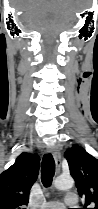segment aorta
Masks as SVG:
<instances>
[{
  "label": "aorta",
  "mask_w": 98,
  "mask_h": 209,
  "mask_svg": "<svg viewBox=\"0 0 98 209\" xmlns=\"http://www.w3.org/2000/svg\"><path fill=\"white\" fill-rule=\"evenodd\" d=\"M74 185V180L71 176H59L54 181V186L58 190H68Z\"/></svg>",
  "instance_id": "762f6f07"
}]
</instances>
